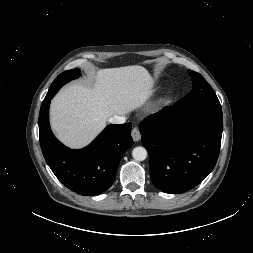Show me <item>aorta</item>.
Segmentation results:
<instances>
[{"label": "aorta", "mask_w": 253, "mask_h": 253, "mask_svg": "<svg viewBox=\"0 0 253 253\" xmlns=\"http://www.w3.org/2000/svg\"><path fill=\"white\" fill-rule=\"evenodd\" d=\"M132 157L136 161H144L147 158V150L141 146L135 147L132 150Z\"/></svg>", "instance_id": "aorta-1"}]
</instances>
